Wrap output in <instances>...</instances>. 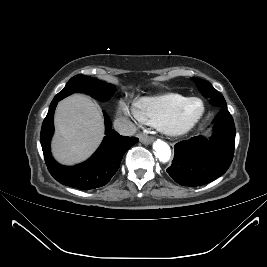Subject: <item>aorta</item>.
Instances as JSON below:
<instances>
[{
  "label": "aorta",
  "instance_id": "1",
  "mask_svg": "<svg viewBox=\"0 0 267 267\" xmlns=\"http://www.w3.org/2000/svg\"><path fill=\"white\" fill-rule=\"evenodd\" d=\"M153 149L155 156L158 158L160 162L165 163L169 161L171 157V149L166 142L162 140H156L153 143Z\"/></svg>",
  "mask_w": 267,
  "mask_h": 267
}]
</instances>
